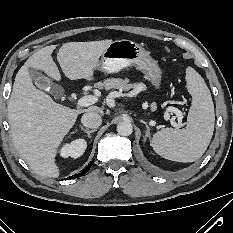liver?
<instances>
[{"label": "liver", "mask_w": 233, "mask_h": 233, "mask_svg": "<svg viewBox=\"0 0 233 233\" xmlns=\"http://www.w3.org/2000/svg\"><path fill=\"white\" fill-rule=\"evenodd\" d=\"M112 40L68 42L63 44L57 60L71 80L92 79L99 58ZM55 45L46 46L28 58L16 74L8 101V122L14 146L22 159L36 174L59 176L55 162L57 150L82 112L103 110L91 106L85 110L71 109L56 103L48 94L38 90L29 75V68L42 70L60 81L59 69L52 58Z\"/></svg>", "instance_id": "liver-1"}]
</instances>
